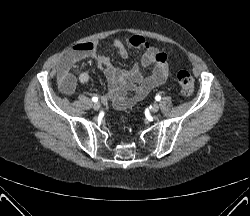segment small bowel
<instances>
[{
  "label": "small bowel",
  "mask_w": 250,
  "mask_h": 216,
  "mask_svg": "<svg viewBox=\"0 0 250 216\" xmlns=\"http://www.w3.org/2000/svg\"><path fill=\"white\" fill-rule=\"evenodd\" d=\"M113 45L122 58L128 57L131 47L138 49L142 53L140 64L130 69H120L112 65L108 56L98 52L95 43L77 44L65 52L57 62V79L60 91L70 95L75 90L77 80L81 84L89 82L90 76L87 72L80 73L78 78L72 73L73 65L88 57L93 58L103 70L110 86L109 99L119 110L131 107L146 97L152 89L164 84L172 77L167 54L151 46L145 39L133 37L125 42L115 40ZM147 68L151 69L149 75H145L143 72Z\"/></svg>",
  "instance_id": "c3829d8e"
}]
</instances>
